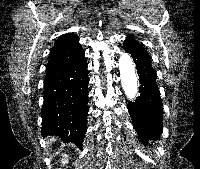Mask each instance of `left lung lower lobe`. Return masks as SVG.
<instances>
[{
	"instance_id": "left-lung-lower-lobe-1",
	"label": "left lung lower lobe",
	"mask_w": 200,
	"mask_h": 169,
	"mask_svg": "<svg viewBox=\"0 0 200 169\" xmlns=\"http://www.w3.org/2000/svg\"><path fill=\"white\" fill-rule=\"evenodd\" d=\"M123 47L132 55L140 78V96L135 102L128 104V111L140 141L145 144L162 133L163 110L156 72L152 68L151 57L145 50L136 49L127 40Z\"/></svg>"
}]
</instances>
